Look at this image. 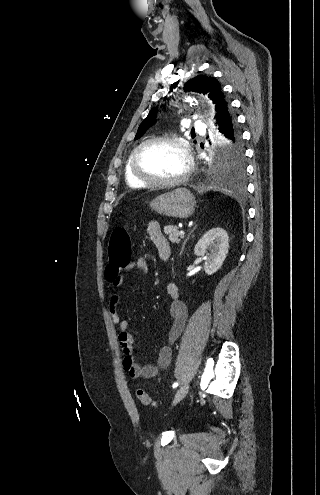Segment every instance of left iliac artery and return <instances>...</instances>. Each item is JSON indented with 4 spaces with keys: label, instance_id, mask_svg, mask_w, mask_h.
I'll list each match as a JSON object with an SVG mask.
<instances>
[{
    "label": "left iliac artery",
    "instance_id": "left-iliac-artery-1",
    "mask_svg": "<svg viewBox=\"0 0 320 495\" xmlns=\"http://www.w3.org/2000/svg\"><path fill=\"white\" fill-rule=\"evenodd\" d=\"M177 386H178V382H175V383L172 385V387H173V388H176Z\"/></svg>",
    "mask_w": 320,
    "mask_h": 495
}]
</instances>
